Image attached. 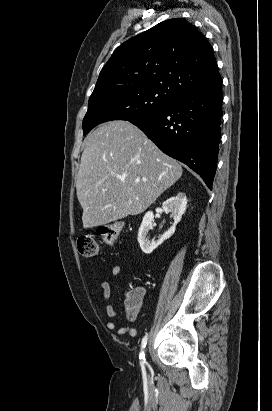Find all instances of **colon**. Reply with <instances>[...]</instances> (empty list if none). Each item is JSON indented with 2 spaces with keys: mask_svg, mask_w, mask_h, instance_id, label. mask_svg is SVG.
Returning a JSON list of instances; mask_svg holds the SVG:
<instances>
[{
  "mask_svg": "<svg viewBox=\"0 0 272 411\" xmlns=\"http://www.w3.org/2000/svg\"><path fill=\"white\" fill-rule=\"evenodd\" d=\"M123 224L115 222L111 224L103 225L99 228L98 234L107 245H112L119 236ZM77 246L79 253L84 257H94L98 254V243L92 235H82L77 240ZM143 301V294L141 291L134 290L128 293L126 306L128 312V318L133 320Z\"/></svg>",
  "mask_w": 272,
  "mask_h": 411,
  "instance_id": "1",
  "label": "colon"
}]
</instances>
